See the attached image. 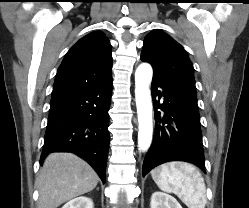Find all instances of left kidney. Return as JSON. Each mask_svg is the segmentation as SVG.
<instances>
[{
	"label": "left kidney",
	"mask_w": 249,
	"mask_h": 208,
	"mask_svg": "<svg viewBox=\"0 0 249 208\" xmlns=\"http://www.w3.org/2000/svg\"><path fill=\"white\" fill-rule=\"evenodd\" d=\"M150 206L151 208H182L174 197L159 191L152 194Z\"/></svg>",
	"instance_id": "5707ae66"
}]
</instances>
